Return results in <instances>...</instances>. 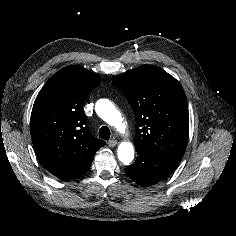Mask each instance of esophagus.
Returning <instances> with one entry per match:
<instances>
[{
	"label": "esophagus",
	"instance_id": "34e87169",
	"mask_svg": "<svg viewBox=\"0 0 236 236\" xmlns=\"http://www.w3.org/2000/svg\"><path fill=\"white\" fill-rule=\"evenodd\" d=\"M118 144V142L114 139L108 141L109 147H115Z\"/></svg>",
	"mask_w": 236,
	"mask_h": 236
}]
</instances>
